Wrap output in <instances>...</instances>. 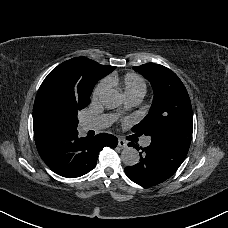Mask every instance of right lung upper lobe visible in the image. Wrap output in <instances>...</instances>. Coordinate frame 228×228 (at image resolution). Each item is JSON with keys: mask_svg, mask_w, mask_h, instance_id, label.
<instances>
[{"mask_svg": "<svg viewBox=\"0 0 228 228\" xmlns=\"http://www.w3.org/2000/svg\"><path fill=\"white\" fill-rule=\"evenodd\" d=\"M114 69V66L100 65L91 59L76 57L53 69L43 82L58 83L77 100L90 101V95L96 82ZM33 129L35 138L60 132L40 116L36 103L33 108Z\"/></svg>", "mask_w": 228, "mask_h": 228, "instance_id": "obj_1", "label": "right lung upper lobe"}]
</instances>
